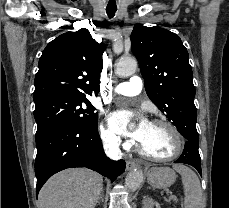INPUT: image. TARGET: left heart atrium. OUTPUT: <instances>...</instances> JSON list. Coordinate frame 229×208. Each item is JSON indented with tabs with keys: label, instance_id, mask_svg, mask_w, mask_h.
<instances>
[{
	"label": "left heart atrium",
	"instance_id": "obj_1",
	"mask_svg": "<svg viewBox=\"0 0 229 208\" xmlns=\"http://www.w3.org/2000/svg\"><path fill=\"white\" fill-rule=\"evenodd\" d=\"M131 119V114L126 111H116L110 117V123L114 129H116L119 133L124 135H132L138 140H142L148 130L150 122L142 118L137 125V127L130 131L128 129V124Z\"/></svg>",
	"mask_w": 229,
	"mask_h": 208
}]
</instances>
